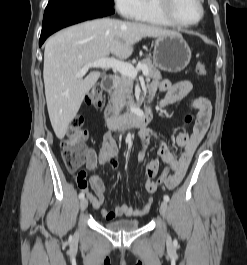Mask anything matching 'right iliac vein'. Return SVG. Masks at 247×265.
Here are the masks:
<instances>
[{"instance_id":"obj_1","label":"right iliac vein","mask_w":247,"mask_h":265,"mask_svg":"<svg viewBox=\"0 0 247 265\" xmlns=\"http://www.w3.org/2000/svg\"><path fill=\"white\" fill-rule=\"evenodd\" d=\"M88 206V200L86 198H83L81 201H80V209L82 211H84Z\"/></svg>"}]
</instances>
